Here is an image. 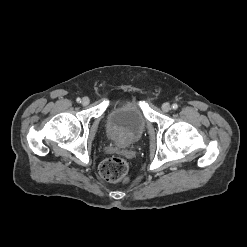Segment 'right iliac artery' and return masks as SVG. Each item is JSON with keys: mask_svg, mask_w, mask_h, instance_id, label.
<instances>
[{"mask_svg": "<svg viewBox=\"0 0 247 247\" xmlns=\"http://www.w3.org/2000/svg\"><path fill=\"white\" fill-rule=\"evenodd\" d=\"M76 101H77L78 103H80V102H81V99H80V98H77Z\"/></svg>", "mask_w": 247, "mask_h": 247, "instance_id": "right-iliac-artery-1", "label": "right iliac artery"}]
</instances>
